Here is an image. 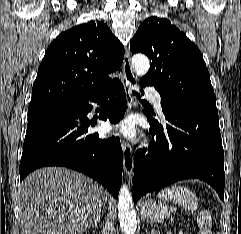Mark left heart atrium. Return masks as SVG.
<instances>
[{"instance_id": "39dd6f15", "label": "left heart atrium", "mask_w": 241, "mask_h": 234, "mask_svg": "<svg viewBox=\"0 0 241 234\" xmlns=\"http://www.w3.org/2000/svg\"><path fill=\"white\" fill-rule=\"evenodd\" d=\"M116 128L118 132L124 137L134 138L136 135L135 124L131 118L123 120L116 126Z\"/></svg>"}]
</instances>
